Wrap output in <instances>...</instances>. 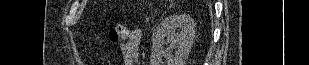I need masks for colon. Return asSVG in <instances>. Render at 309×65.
<instances>
[{
    "mask_svg": "<svg viewBox=\"0 0 309 65\" xmlns=\"http://www.w3.org/2000/svg\"><path fill=\"white\" fill-rule=\"evenodd\" d=\"M126 34V27L121 23L114 24L108 31V37L113 42H118L124 39Z\"/></svg>",
    "mask_w": 309,
    "mask_h": 65,
    "instance_id": "5ec220e1",
    "label": "colon"
}]
</instances>
